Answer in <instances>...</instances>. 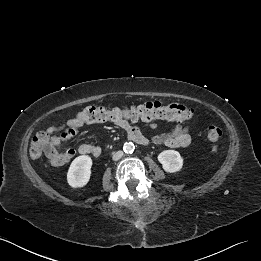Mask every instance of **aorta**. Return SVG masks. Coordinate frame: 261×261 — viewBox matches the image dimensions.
<instances>
[{
    "mask_svg": "<svg viewBox=\"0 0 261 261\" xmlns=\"http://www.w3.org/2000/svg\"><path fill=\"white\" fill-rule=\"evenodd\" d=\"M123 150L125 153H133L135 150V145L132 142H126L123 146Z\"/></svg>",
    "mask_w": 261,
    "mask_h": 261,
    "instance_id": "obj_1",
    "label": "aorta"
}]
</instances>
